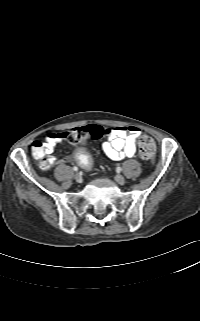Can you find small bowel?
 I'll list each match as a JSON object with an SVG mask.
<instances>
[{
    "instance_id": "1",
    "label": "small bowel",
    "mask_w": 200,
    "mask_h": 321,
    "mask_svg": "<svg viewBox=\"0 0 200 321\" xmlns=\"http://www.w3.org/2000/svg\"><path fill=\"white\" fill-rule=\"evenodd\" d=\"M65 133L66 132L51 133L44 141V152L52 166L56 163V158L51 156L53 147L56 143L67 139ZM140 133V129L135 126H121L111 129L108 133L107 140L102 144L103 152L113 161L134 157L136 153V140ZM68 160V158H65L63 162H67Z\"/></svg>"
}]
</instances>
